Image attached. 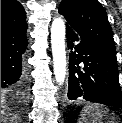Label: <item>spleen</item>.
I'll list each match as a JSON object with an SVG mask.
<instances>
[{
	"label": "spleen",
	"instance_id": "spleen-1",
	"mask_svg": "<svg viewBox=\"0 0 122 123\" xmlns=\"http://www.w3.org/2000/svg\"><path fill=\"white\" fill-rule=\"evenodd\" d=\"M104 116H108L106 109L98 104H89L82 109L78 123H102Z\"/></svg>",
	"mask_w": 122,
	"mask_h": 123
}]
</instances>
